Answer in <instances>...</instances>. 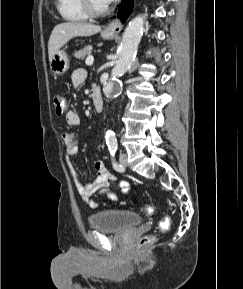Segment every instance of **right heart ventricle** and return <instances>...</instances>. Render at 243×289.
Returning <instances> with one entry per match:
<instances>
[{"instance_id": "right-heart-ventricle-1", "label": "right heart ventricle", "mask_w": 243, "mask_h": 289, "mask_svg": "<svg viewBox=\"0 0 243 289\" xmlns=\"http://www.w3.org/2000/svg\"><path fill=\"white\" fill-rule=\"evenodd\" d=\"M59 14L68 21L80 22L88 19V15L82 8L81 0H57Z\"/></svg>"}]
</instances>
